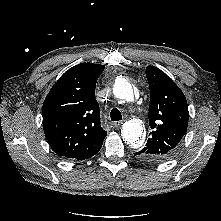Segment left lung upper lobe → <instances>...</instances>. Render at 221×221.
Instances as JSON below:
<instances>
[{"label": "left lung upper lobe", "instance_id": "5c2ea615", "mask_svg": "<svg viewBox=\"0 0 221 221\" xmlns=\"http://www.w3.org/2000/svg\"><path fill=\"white\" fill-rule=\"evenodd\" d=\"M146 76L150 89L148 117L152 132L146 146L135 155L157 163L170 157L186 134L189 112L181 89L164 72L147 66Z\"/></svg>", "mask_w": 221, "mask_h": 221}]
</instances>
